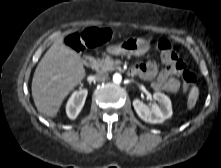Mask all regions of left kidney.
<instances>
[{
    "label": "left kidney",
    "instance_id": "1",
    "mask_svg": "<svg viewBox=\"0 0 221 168\" xmlns=\"http://www.w3.org/2000/svg\"><path fill=\"white\" fill-rule=\"evenodd\" d=\"M153 99L157 101L158 104L153 103L151 108L139 99L133 101V107L143 121L152 124L163 123L172 116L171 100L168 96L160 92H155Z\"/></svg>",
    "mask_w": 221,
    "mask_h": 168
}]
</instances>
